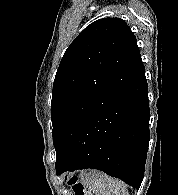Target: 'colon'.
Instances as JSON below:
<instances>
[{
  "instance_id": "5ec220e1",
  "label": "colon",
  "mask_w": 178,
  "mask_h": 195,
  "mask_svg": "<svg viewBox=\"0 0 178 195\" xmlns=\"http://www.w3.org/2000/svg\"><path fill=\"white\" fill-rule=\"evenodd\" d=\"M68 183L72 186L75 195H92L77 178H68Z\"/></svg>"
}]
</instances>
